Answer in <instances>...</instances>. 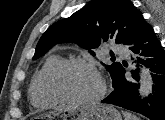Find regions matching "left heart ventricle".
<instances>
[{
	"mask_svg": "<svg viewBox=\"0 0 165 120\" xmlns=\"http://www.w3.org/2000/svg\"><path fill=\"white\" fill-rule=\"evenodd\" d=\"M56 84L62 94L74 99L92 97L101 87L99 78L92 70L78 65L64 69Z\"/></svg>",
	"mask_w": 165,
	"mask_h": 120,
	"instance_id": "b2bd125f",
	"label": "left heart ventricle"
}]
</instances>
